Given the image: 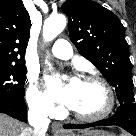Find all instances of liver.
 <instances>
[{
    "instance_id": "6515ba94",
    "label": "liver",
    "mask_w": 136,
    "mask_h": 136,
    "mask_svg": "<svg viewBox=\"0 0 136 136\" xmlns=\"http://www.w3.org/2000/svg\"><path fill=\"white\" fill-rule=\"evenodd\" d=\"M86 130H83L84 132ZM33 131L25 124L0 113V136H30Z\"/></svg>"
}]
</instances>
